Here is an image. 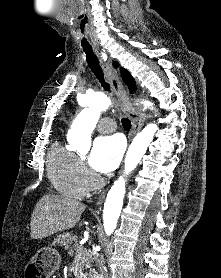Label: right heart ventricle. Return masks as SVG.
I'll use <instances>...</instances> for the list:
<instances>
[{"label":"right heart ventricle","instance_id":"right-heart-ventricle-1","mask_svg":"<svg viewBox=\"0 0 221 278\" xmlns=\"http://www.w3.org/2000/svg\"><path fill=\"white\" fill-rule=\"evenodd\" d=\"M47 170L52 185L61 195L79 199L86 193V178L80 159L62 143L52 145Z\"/></svg>","mask_w":221,"mask_h":278}]
</instances>
